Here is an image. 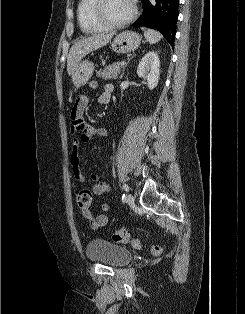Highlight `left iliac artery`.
<instances>
[{
	"mask_svg": "<svg viewBox=\"0 0 245 314\" xmlns=\"http://www.w3.org/2000/svg\"><path fill=\"white\" fill-rule=\"evenodd\" d=\"M123 189H124L125 191H129V186H128L127 184H123ZM124 196H125V195H123L122 199H124Z\"/></svg>",
	"mask_w": 245,
	"mask_h": 314,
	"instance_id": "44dca946",
	"label": "left iliac artery"
}]
</instances>
